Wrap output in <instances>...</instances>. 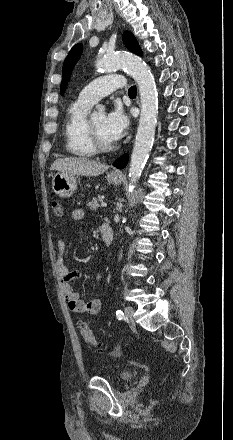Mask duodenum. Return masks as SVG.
<instances>
[{
    "mask_svg": "<svg viewBox=\"0 0 233 440\" xmlns=\"http://www.w3.org/2000/svg\"><path fill=\"white\" fill-rule=\"evenodd\" d=\"M101 236L104 244L106 246H110L113 242L114 233L112 225L109 221H106L101 226Z\"/></svg>",
    "mask_w": 233,
    "mask_h": 440,
    "instance_id": "obj_1",
    "label": "duodenum"
}]
</instances>
